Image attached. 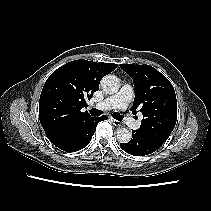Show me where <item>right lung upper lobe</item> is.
I'll list each match as a JSON object with an SVG mask.
<instances>
[{
    "mask_svg": "<svg viewBox=\"0 0 211 211\" xmlns=\"http://www.w3.org/2000/svg\"><path fill=\"white\" fill-rule=\"evenodd\" d=\"M117 67V64L75 60L49 76L39 100V119L53 144L80 123L93 118L81 109L99 89L101 79Z\"/></svg>",
    "mask_w": 211,
    "mask_h": 211,
    "instance_id": "obj_1",
    "label": "right lung upper lobe"
}]
</instances>
